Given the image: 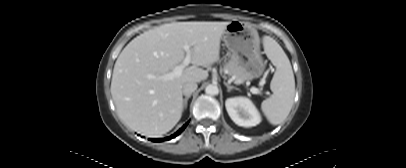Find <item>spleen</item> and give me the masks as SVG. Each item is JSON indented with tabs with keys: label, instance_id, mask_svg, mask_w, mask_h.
I'll return each mask as SVG.
<instances>
[{
	"label": "spleen",
	"instance_id": "obj_1",
	"mask_svg": "<svg viewBox=\"0 0 406 168\" xmlns=\"http://www.w3.org/2000/svg\"><path fill=\"white\" fill-rule=\"evenodd\" d=\"M264 51L276 72L270 83L273 92L264 100L261 109L272 125L281 124L289 115L295 96V78L291 63L281 46L271 37L263 39Z\"/></svg>",
	"mask_w": 406,
	"mask_h": 168
}]
</instances>
